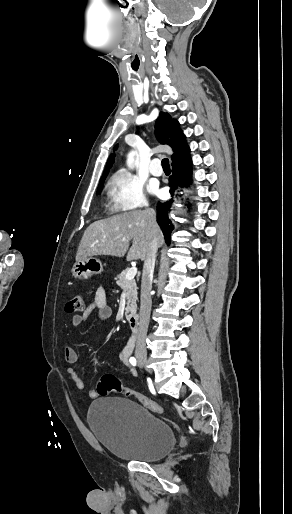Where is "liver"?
<instances>
[{
    "label": "liver",
    "mask_w": 292,
    "mask_h": 514,
    "mask_svg": "<svg viewBox=\"0 0 292 514\" xmlns=\"http://www.w3.org/2000/svg\"><path fill=\"white\" fill-rule=\"evenodd\" d=\"M132 238L133 244L128 252L127 262L146 260L152 240H157L158 246L164 244V236L159 226H150L148 210H134L90 224L79 244L76 262L88 256L122 258Z\"/></svg>",
    "instance_id": "6515ba94"
}]
</instances>
